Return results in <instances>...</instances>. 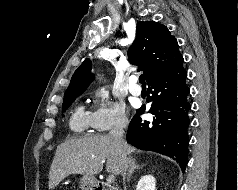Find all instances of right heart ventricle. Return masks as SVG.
<instances>
[{"label": "right heart ventricle", "mask_w": 238, "mask_h": 190, "mask_svg": "<svg viewBox=\"0 0 238 190\" xmlns=\"http://www.w3.org/2000/svg\"><path fill=\"white\" fill-rule=\"evenodd\" d=\"M70 128L75 132H83L89 125V116L82 107H77L70 121Z\"/></svg>", "instance_id": "right-heart-ventricle-1"}]
</instances>
